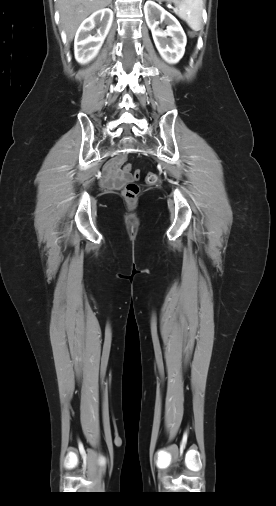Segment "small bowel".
<instances>
[{"mask_svg":"<svg viewBox=\"0 0 276 506\" xmlns=\"http://www.w3.org/2000/svg\"><path fill=\"white\" fill-rule=\"evenodd\" d=\"M122 157L113 159L104 168L102 185L104 187H116L130 179L127 172H121L117 167L121 165Z\"/></svg>","mask_w":276,"mask_h":506,"instance_id":"1","label":"small bowel"}]
</instances>
